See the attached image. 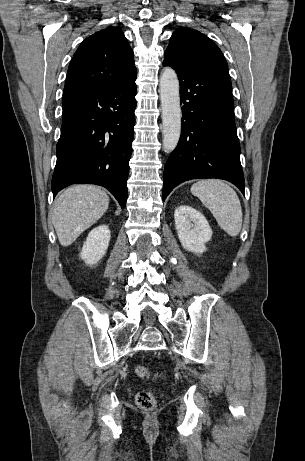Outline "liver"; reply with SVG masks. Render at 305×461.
Segmentation results:
<instances>
[{
  "label": "liver",
  "instance_id": "6515ba94",
  "mask_svg": "<svg viewBox=\"0 0 305 461\" xmlns=\"http://www.w3.org/2000/svg\"><path fill=\"white\" fill-rule=\"evenodd\" d=\"M108 206L109 197L99 187L75 185L67 188L57 198L52 216L60 244L71 245L102 217Z\"/></svg>",
  "mask_w": 305,
  "mask_h": 461
}]
</instances>
